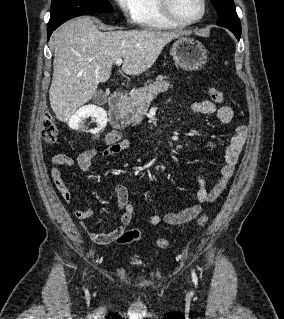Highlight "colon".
I'll use <instances>...</instances> for the list:
<instances>
[{"instance_id": "obj_1", "label": "colon", "mask_w": 284, "mask_h": 319, "mask_svg": "<svg viewBox=\"0 0 284 319\" xmlns=\"http://www.w3.org/2000/svg\"><path fill=\"white\" fill-rule=\"evenodd\" d=\"M207 93L209 95V97L216 103H222L224 102V94L222 91H220L219 89L215 88V87H209L207 89ZM42 138L43 140L48 143V144H52L56 141L57 136H58V128L54 122V119L51 116H46L44 117L43 121H42ZM208 222V216L207 215H202L198 221H197V225L202 227L204 225H206V223ZM142 237V234L139 230L137 229H131V230H127L125 231L118 239H117V243L119 244H129L135 241L140 240ZM169 245V241L166 238H160L157 241V246L160 249H165L167 248Z\"/></svg>"}]
</instances>
